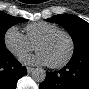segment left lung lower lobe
I'll use <instances>...</instances> for the list:
<instances>
[{"mask_svg": "<svg viewBox=\"0 0 89 89\" xmlns=\"http://www.w3.org/2000/svg\"><path fill=\"white\" fill-rule=\"evenodd\" d=\"M40 89H89V51L72 56L60 71L47 72Z\"/></svg>", "mask_w": 89, "mask_h": 89, "instance_id": "1", "label": "left lung lower lobe"}]
</instances>
